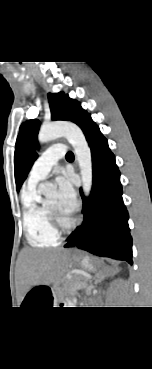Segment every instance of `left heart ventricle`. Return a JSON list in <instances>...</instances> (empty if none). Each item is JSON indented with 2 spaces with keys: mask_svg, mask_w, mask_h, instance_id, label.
Listing matches in <instances>:
<instances>
[{
  "mask_svg": "<svg viewBox=\"0 0 152 369\" xmlns=\"http://www.w3.org/2000/svg\"><path fill=\"white\" fill-rule=\"evenodd\" d=\"M46 204L49 205L53 210H55L58 213V215L60 216V218L62 219L64 223H68L72 219L71 216L65 215L60 210L59 200L57 196H54L51 199H49Z\"/></svg>",
  "mask_w": 152,
  "mask_h": 369,
  "instance_id": "left-heart-ventricle-1",
  "label": "left heart ventricle"
}]
</instances>
